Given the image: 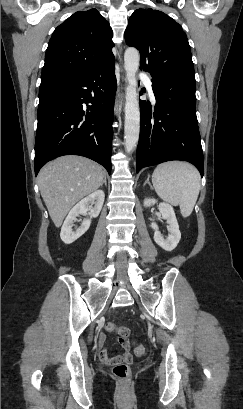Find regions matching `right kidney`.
Wrapping results in <instances>:
<instances>
[{"instance_id":"ca27d5eb","label":"right kidney","mask_w":243,"mask_h":409,"mask_svg":"<svg viewBox=\"0 0 243 409\" xmlns=\"http://www.w3.org/2000/svg\"><path fill=\"white\" fill-rule=\"evenodd\" d=\"M104 198V191L97 190L82 199L71 209L63 223L60 233V238L65 244L73 243L89 229L91 218H95L99 215L104 203ZM87 211H89L90 219L83 220L81 226L73 231L72 226L79 214H85Z\"/></svg>"}]
</instances>
